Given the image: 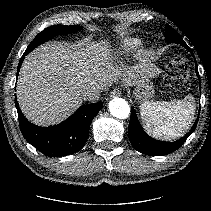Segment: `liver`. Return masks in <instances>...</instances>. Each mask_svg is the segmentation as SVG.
Masks as SVG:
<instances>
[{
    "instance_id": "1",
    "label": "liver",
    "mask_w": 211,
    "mask_h": 211,
    "mask_svg": "<svg viewBox=\"0 0 211 211\" xmlns=\"http://www.w3.org/2000/svg\"><path fill=\"white\" fill-rule=\"evenodd\" d=\"M105 52L106 47L93 43L80 47L46 43L30 52L16 88L25 117L40 126L58 124L82 104L85 90H103L118 76L127 84H135L148 66L144 57L138 66L123 73Z\"/></svg>"
}]
</instances>
